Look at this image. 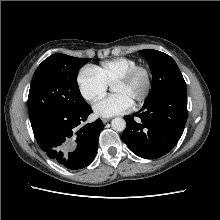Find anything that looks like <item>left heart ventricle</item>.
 I'll list each match as a JSON object with an SVG mask.
<instances>
[{
    "label": "left heart ventricle",
    "mask_w": 220,
    "mask_h": 220,
    "mask_svg": "<svg viewBox=\"0 0 220 220\" xmlns=\"http://www.w3.org/2000/svg\"><path fill=\"white\" fill-rule=\"evenodd\" d=\"M145 87V77L139 74L132 82L126 85H116L112 87L113 95H124L131 102L141 96Z\"/></svg>",
    "instance_id": "1"
}]
</instances>
